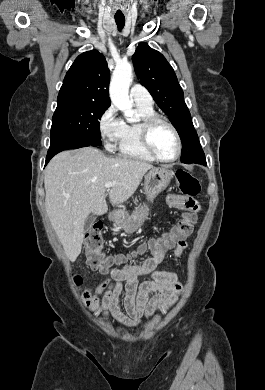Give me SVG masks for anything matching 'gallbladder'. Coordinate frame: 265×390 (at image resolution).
Masks as SVG:
<instances>
[{"label": "gallbladder", "mask_w": 265, "mask_h": 390, "mask_svg": "<svg viewBox=\"0 0 265 390\" xmlns=\"http://www.w3.org/2000/svg\"><path fill=\"white\" fill-rule=\"evenodd\" d=\"M95 220H96V216L94 214H90L87 217V219L85 221V225H84V232H88L91 229V227L94 224Z\"/></svg>", "instance_id": "bac80fb5"}]
</instances>
